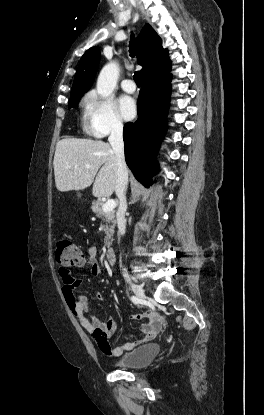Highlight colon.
<instances>
[{
	"label": "colon",
	"mask_w": 264,
	"mask_h": 415,
	"mask_svg": "<svg viewBox=\"0 0 264 415\" xmlns=\"http://www.w3.org/2000/svg\"><path fill=\"white\" fill-rule=\"evenodd\" d=\"M56 260L63 269H70V266L82 262L84 255L68 235H61L57 239ZM66 299L73 302V293L68 292Z\"/></svg>",
	"instance_id": "colon-1"
}]
</instances>
